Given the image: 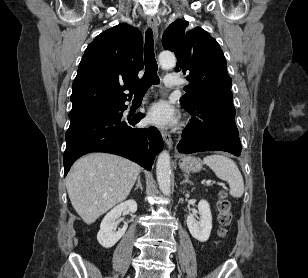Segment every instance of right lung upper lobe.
I'll return each instance as SVG.
<instances>
[{
  "label": "right lung upper lobe",
  "mask_w": 308,
  "mask_h": 278,
  "mask_svg": "<svg viewBox=\"0 0 308 278\" xmlns=\"http://www.w3.org/2000/svg\"><path fill=\"white\" fill-rule=\"evenodd\" d=\"M143 67V38L137 28L119 24L102 32L79 64L69 117L127 101L130 94H124L123 87L138 80Z\"/></svg>",
  "instance_id": "right-lung-upper-lobe-1"
}]
</instances>
